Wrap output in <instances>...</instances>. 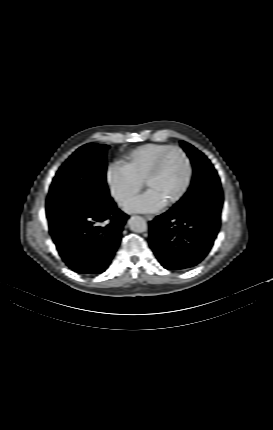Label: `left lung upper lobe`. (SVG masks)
<instances>
[{
  "mask_svg": "<svg viewBox=\"0 0 273 430\" xmlns=\"http://www.w3.org/2000/svg\"><path fill=\"white\" fill-rule=\"evenodd\" d=\"M180 143L190 157L194 170L192 183L187 193H194L207 185L220 187V178L213 165L204 154L187 142L180 141Z\"/></svg>",
  "mask_w": 273,
  "mask_h": 430,
  "instance_id": "left-lung-upper-lobe-1",
  "label": "left lung upper lobe"
}]
</instances>
